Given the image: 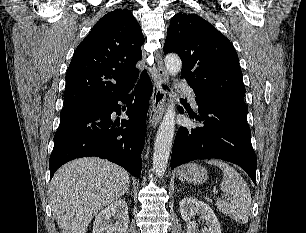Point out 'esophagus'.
Here are the masks:
<instances>
[{
	"instance_id": "34e87169",
	"label": "esophagus",
	"mask_w": 306,
	"mask_h": 233,
	"mask_svg": "<svg viewBox=\"0 0 306 233\" xmlns=\"http://www.w3.org/2000/svg\"><path fill=\"white\" fill-rule=\"evenodd\" d=\"M157 70L154 77L153 93L151 97V109L149 114V126L155 128L162 119L167 95L162 84L168 83L169 76L164 67L162 57L159 52L156 53Z\"/></svg>"
}]
</instances>
